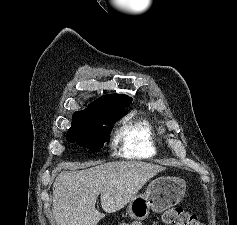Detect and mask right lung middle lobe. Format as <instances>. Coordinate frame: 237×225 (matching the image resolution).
<instances>
[{
    "label": "right lung middle lobe",
    "mask_w": 237,
    "mask_h": 225,
    "mask_svg": "<svg viewBox=\"0 0 237 225\" xmlns=\"http://www.w3.org/2000/svg\"><path fill=\"white\" fill-rule=\"evenodd\" d=\"M122 116L106 111L95 112L87 123L72 124L67 132V140L97 152L110 137V130L104 125H113Z\"/></svg>",
    "instance_id": "right-lung-middle-lobe-1"
}]
</instances>
